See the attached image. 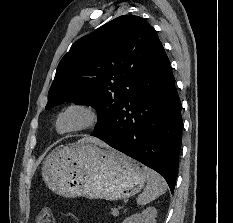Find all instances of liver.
<instances>
[{
	"label": "liver",
	"instance_id": "1",
	"mask_svg": "<svg viewBox=\"0 0 233 223\" xmlns=\"http://www.w3.org/2000/svg\"><path fill=\"white\" fill-rule=\"evenodd\" d=\"M79 141H94V143H100V145H106L104 141H100L98 137H91V135H88V137H82V139H79Z\"/></svg>",
	"mask_w": 233,
	"mask_h": 223
}]
</instances>
